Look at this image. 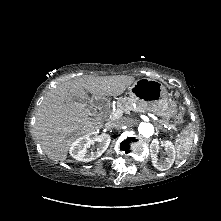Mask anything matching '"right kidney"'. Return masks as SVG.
<instances>
[{"instance_id": "obj_1", "label": "right kidney", "mask_w": 221, "mask_h": 221, "mask_svg": "<svg viewBox=\"0 0 221 221\" xmlns=\"http://www.w3.org/2000/svg\"><path fill=\"white\" fill-rule=\"evenodd\" d=\"M111 141L109 134L89 133L76 139L70 146V155L78 161L89 162L100 157ZM98 142L96 150L87 151L91 144Z\"/></svg>"}]
</instances>
